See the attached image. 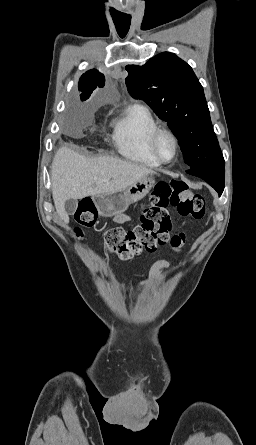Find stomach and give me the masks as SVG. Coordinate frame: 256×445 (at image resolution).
Returning <instances> with one entry per match:
<instances>
[{
    "mask_svg": "<svg viewBox=\"0 0 256 445\" xmlns=\"http://www.w3.org/2000/svg\"><path fill=\"white\" fill-rule=\"evenodd\" d=\"M154 185L155 179L149 175L122 191L99 194L93 198L101 216L113 217L124 213L130 204L144 198Z\"/></svg>",
    "mask_w": 256,
    "mask_h": 445,
    "instance_id": "0dacf381",
    "label": "stomach"
}]
</instances>
